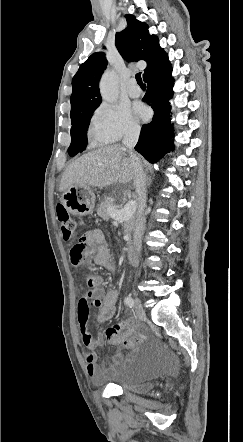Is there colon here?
I'll list each match as a JSON object with an SVG mask.
<instances>
[{
  "label": "colon",
  "instance_id": "5ec220e1",
  "mask_svg": "<svg viewBox=\"0 0 243 442\" xmlns=\"http://www.w3.org/2000/svg\"><path fill=\"white\" fill-rule=\"evenodd\" d=\"M56 213L61 224L64 239L68 242H75L74 246L70 250V259L74 262L82 261L84 259L85 244L82 237L79 235L81 222L75 220L63 204H58L56 206Z\"/></svg>",
  "mask_w": 243,
  "mask_h": 442
}]
</instances>
